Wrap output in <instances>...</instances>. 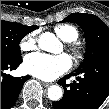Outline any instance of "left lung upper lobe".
<instances>
[{
    "label": "left lung upper lobe",
    "instance_id": "1",
    "mask_svg": "<svg viewBox=\"0 0 109 109\" xmlns=\"http://www.w3.org/2000/svg\"><path fill=\"white\" fill-rule=\"evenodd\" d=\"M63 21L78 24L85 33L86 54L78 70L97 60L109 59V27L101 19L93 14L72 13ZM79 96L80 91L74 89L69 92L68 99L72 102Z\"/></svg>",
    "mask_w": 109,
    "mask_h": 109
}]
</instances>
